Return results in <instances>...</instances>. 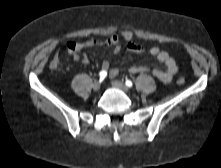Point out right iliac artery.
<instances>
[{
    "instance_id": "right-iliac-artery-1",
    "label": "right iliac artery",
    "mask_w": 221,
    "mask_h": 168,
    "mask_svg": "<svg viewBox=\"0 0 221 168\" xmlns=\"http://www.w3.org/2000/svg\"><path fill=\"white\" fill-rule=\"evenodd\" d=\"M106 76H107V72L106 71H101L99 73L100 80H103Z\"/></svg>"
}]
</instances>
